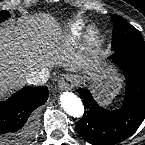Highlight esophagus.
<instances>
[{"label": "esophagus", "mask_w": 145, "mask_h": 145, "mask_svg": "<svg viewBox=\"0 0 145 145\" xmlns=\"http://www.w3.org/2000/svg\"><path fill=\"white\" fill-rule=\"evenodd\" d=\"M74 86L75 79L72 75H65L58 82V87L61 90H71Z\"/></svg>", "instance_id": "obj_1"}]
</instances>
